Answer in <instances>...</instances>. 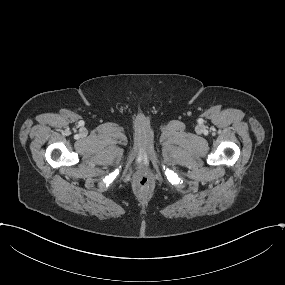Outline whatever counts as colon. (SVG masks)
Returning <instances> with one entry per match:
<instances>
[{
    "label": "colon",
    "mask_w": 285,
    "mask_h": 285,
    "mask_svg": "<svg viewBox=\"0 0 285 285\" xmlns=\"http://www.w3.org/2000/svg\"><path fill=\"white\" fill-rule=\"evenodd\" d=\"M136 184L137 187L141 190H149L152 187L153 182L148 174L142 173L137 176Z\"/></svg>",
    "instance_id": "5ec220e1"
}]
</instances>
